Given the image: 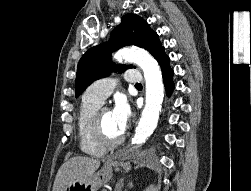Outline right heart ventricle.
<instances>
[{
    "label": "right heart ventricle",
    "mask_w": 251,
    "mask_h": 191,
    "mask_svg": "<svg viewBox=\"0 0 251 191\" xmlns=\"http://www.w3.org/2000/svg\"><path fill=\"white\" fill-rule=\"evenodd\" d=\"M101 101L84 96L79 104L75 119V133L79 151L89 157L100 158L107 152L95 139L92 130V118Z\"/></svg>",
    "instance_id": "right-heart-ventricle-1"
}]
</instances>
